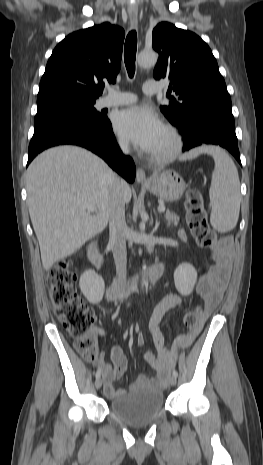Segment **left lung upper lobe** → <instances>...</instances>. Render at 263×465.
<instances>
[{"mask_svg":"<svg viewBox=\"0 0 263 465\" xmlns=\"http://www.w3.org/2000/svg\"><path fill=\"white\" fill-rule=\"evenodd\" d=\"M159 59L153 76L171 80L178 99L160 109L175 126L190 123L206 107L231 113V98L209 46L195 33L162 22L152 33Z\"/></svg>","mask_w":263,"mask_h":465,"instance_id":"5c2ea615","label":"left lung upper lobe"}]
</instances>
